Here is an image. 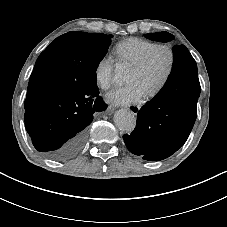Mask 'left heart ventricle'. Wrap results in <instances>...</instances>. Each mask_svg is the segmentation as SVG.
Segmentation results:
<instances>
[{
  "instance_id": "obj_1",
  "label": "left heart ventricle",
  "mask_w": 227,
  "mask_h": 227,
  "mask_svg": "<svg viewBox=\"0 0 227 227\" xmlns=\"http://www.w3.org/2000/svg\"><path fill=\"white\" fill-rule=\"evenodd\" d=\"M168 57L164 51L157 52L149 65L142 72L131 70L127 83L139 85L146 93L162 80L167 68Z\"/></svg>"
}]
</instances>
